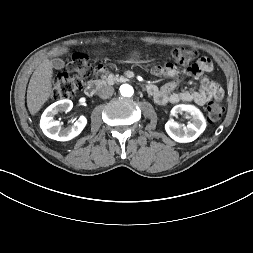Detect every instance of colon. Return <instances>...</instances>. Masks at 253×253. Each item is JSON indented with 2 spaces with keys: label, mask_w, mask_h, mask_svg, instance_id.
<instances>
[{
  "label": "colon",
  "mask_w": 253,
  "mask_h": 253,
  "mask_svg": "<svg viewBox=\"0 0 253 253\" xmlns=\"http://www.w3.org/2000/svg\"><path fill=\"white\" fill-rule=\"evenodd\" d=\"M196 52L191 49H174L167 55L169 61L176 66L185 67L196 59ZM69 74L58 75L52 85V96L55 100L67 99L75 96L84 83L97 76L106 78L111 73V66L106 61H99L92 65L89 57L83 53H76L67 64ZM224 114V106L218 101H211L207 106V116L210 122H217Z\"/></svg>",
  "instance_id": "5ec220e1"
}]
</instances>
